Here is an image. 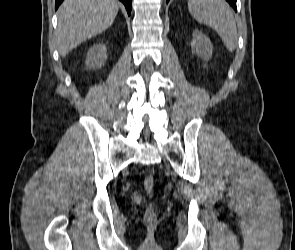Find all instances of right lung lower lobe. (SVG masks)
I'll list each match as a JSON object with an SVG mask.
<instances>
[{
	"instance_id": "98d812e1",
	"label": "right lung lower lobe",
	"mask_w": 295,
	"mask_h": 250,
	"mask_svg": "<svg viewBox=\"0 0 295 250\" xmlns=\"http://www.w3.org/2000/svg\"><path fill=\"white\" fill-rule=\"evenodd\" d=\"M120 1L124 3V5L127 9L128 15H130L131 8H132V0H120ZM62 2H63V0H56L55 1V9H57Z\"/></svg>"
}]
</instances>
